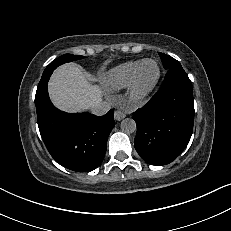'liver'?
I'll return each mask as SVG.
<instances>
[{
  "instance_id": "liver-1",
  "label": "liver",
  "mask_w": 231,
  "mask_h": 231,
  "mask_svg": "<svg viewBox=\"0 0 231 231\" xmlns=\"http://www.w3.org/2000/svg\"><path fill=\"white\" fill-rule=\"evenodd\" d=\"M52 103L62 111L81 112L102 100V90L92 85L74 63L58 67L48 84Z\"/></svg>"
}]
</instances>
